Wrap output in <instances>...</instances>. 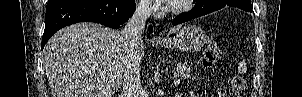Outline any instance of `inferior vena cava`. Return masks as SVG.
Returning <instances> with one entry per match:
<instances>
[{
	"label": "inferior vena cava",
	"mask_w": 302,
	"mask_h": 97,
	"mask_svg": "<svg viewBox=\"0 0 302 97\" xmlns=\"http://www.w3.org/2000/svg\"><path fill=\"white\" fill-rule=\"evenodd\" d=\"M152 11L151 0H141L136 7L133 16L126 23L120 35L128 48V63L123 75L124 97H145V91L141 85L140 61L138 49L142 42V34Z\"/></svg>",
	"instance_id": "obj_1"
}]
</instances>
